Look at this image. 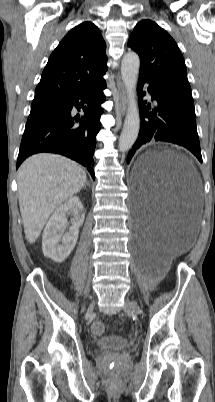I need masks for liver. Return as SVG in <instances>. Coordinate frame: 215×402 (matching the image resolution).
I'll list each match as a JSON object with an SVG mask.
<instances>
[{"label": "liver", "instance_id": "6515ba94", "mask_svg": "<svg viewBox=\"0 0 215 402\" xmlns=\"http://www.w3.org/2000/svg\"><path fill=\"white\" fill-rule=\"evenodd\" d=\"M17 183L25 237L34 243L52 212L84 187L86 174L66 157L41 153L22 163Z\"/></svg>", "mask_w": 215, "mask_h": 402}]
</instances>
